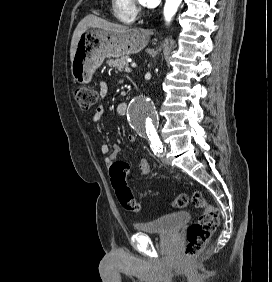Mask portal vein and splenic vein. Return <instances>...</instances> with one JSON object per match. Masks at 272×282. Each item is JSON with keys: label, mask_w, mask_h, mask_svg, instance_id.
<instances>
[{"label": "portal vein and splenic vein", "mask_w": 272, "mask_h": 282, "mask_svg": "<svg viewBox=\"0 0 272 282\" xmlns=\"http://www.w3.org/2000/svg\"><path fill=\"white\" fill-rule=\"evenodd\" d=\"M136 66H137L136 63H131L132 68H136Z\"/></svg>", "instance_id": "portal-vein-and-splenic-vein-1"}]
</instances>
